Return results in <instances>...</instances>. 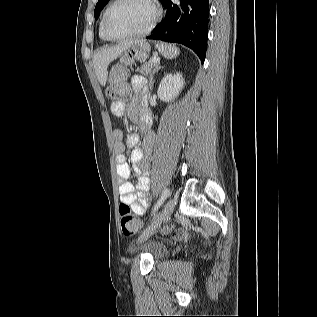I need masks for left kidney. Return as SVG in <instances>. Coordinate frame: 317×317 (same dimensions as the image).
<instances>
[{
    "instance_id": "5707ae66",
    "label": "left kidney",
    "mask_w": 317,
    "mask_h": 317,
    "mask_svg": "<svg viewBox=\"0 0 317 317\" xmlns=\"http://www.w3.org/2000/svg\"><path fill=\"white\" fill-rule=\"evenodd\" d=\"M183 87L184 79L182 74H167L160 82L157 95L162 101L169 102L179 95Z\"/></svg>"
}]
</instances>
